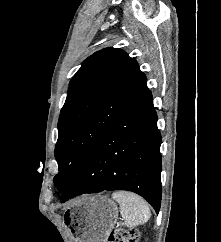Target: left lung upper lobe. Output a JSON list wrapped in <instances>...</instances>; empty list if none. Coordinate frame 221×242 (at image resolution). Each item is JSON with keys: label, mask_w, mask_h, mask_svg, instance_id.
Listing matches in <instances>:
<instances>
[{"label": "left lung upper lobe", "mask_w": 221, "mask_h": 242, "mask_svg": "<svg viewBox=\"0 0 221 242\" xmlns=\"http://www.w3.org/2000/svg\"><path fill=\"white\" fill-rule=\"evenodd\" d=\"M147 91L138 63L121 49L105 48L83 62L58 120L54 184L59 192L78 179L98 139Z\"/></svg>", "instance_id": "1"}]
</instances>
